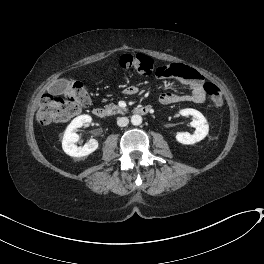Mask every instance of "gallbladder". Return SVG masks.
<instances>
[{
  "label": "gallbladder",
  "mask_w": 264,
  "mask_h": 264,
  "mask_svg": "<svg viewBox=\"0 0 264 264\" xmlns=\"http://www.w3.org/2000/svg\"><path fill=\"white\" fill-rule=\"evenodd\" d=\"M70 85V82L66 79L58 80L56 83H54L50 90L52 93H60L63 92L68 86Z\"/></svg>",
  "instance_id": "bac80fb5"
}]
</instances>
